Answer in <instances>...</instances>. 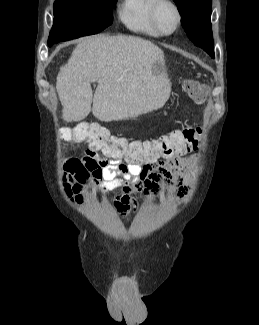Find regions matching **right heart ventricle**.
Returning <instances> with one entry per match:
<instances>
[{"instance_id": "1", "label": "right heart ventricle", "mask_w": 259, "mask_h": 325, "mask_svg": "<svg viewBox=\"0 0 259 325\" xmlns=\"http://www.w3.org/2000/svg\"><path fill=\"white\" fill-rule=\"evenodd\" d=\"M154 0H122L118 6V17L130 30L149 36L160 34L150 20V8Z\"/></svg>"}]
</instances>
